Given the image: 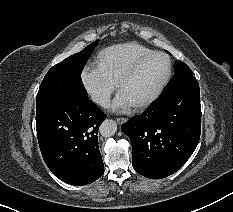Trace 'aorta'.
Wrapping results in <instances>:
<instances>
[{
	"label": "aorta",
	"mask_w": 233,
	"mask_h": 212,
	"mask_svg": "<svg viewBox=\"0 0 233 212\" xmlns=\"http://www.w3.org/2000/svg\"><path fill=\"white\" fill-rule=\"evenodd\" d=\"M102 136L110 137L113 136L117 131V123L113 120H105L99 128Z\"/></svg>",
	"instance_id": "aorta-1"
}]
</instances>
